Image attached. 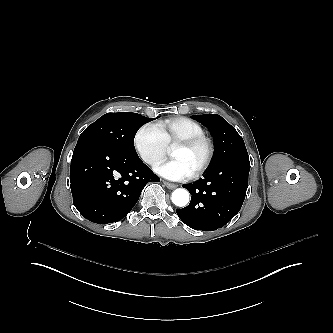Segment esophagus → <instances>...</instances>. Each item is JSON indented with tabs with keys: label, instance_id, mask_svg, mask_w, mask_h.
Here are the masks:
<instances>
[{
	"label": "esophagus",
	"instance_id": "1",
	"mask_svg": "<svg viewBox=\"0 0 333 333\" xmlns=\"http://www.w3.org/2000/svg\"><path fill=\"white\" fill-rule=\"evenodd\" d=\"M163 183L166 185V187H167L168 189H171V190H173V189H175V188L178 187L177 184L170 183V182H167V181H163Z\"/></svg>",
	"mask_w": 333,
	"mask_h": 333
}]
</instances>
